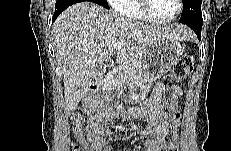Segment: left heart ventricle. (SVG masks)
Returning a JSON list of instances; mask_svg holds the SVG:
<instances>
[{
  "label": "left heart ventricle",
  "mask_w": 231,
  "mask_h": 151,
  "mask_svg": "<svg viewBox=\"0 0 231 151\" xmlns=\"http://www.w3.org/2000/svg\"><path fill=\"white\" fill-rule=\"evenodd\" d=\"M149 3L152 15L160 19L173 16L177 10L176 0H150Z\"/></svg>",
  "instance_id": "obj_1"
}]
</instances>
